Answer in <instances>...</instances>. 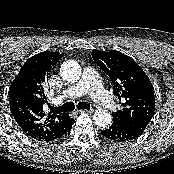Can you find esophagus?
I'll return each instance as SVG.
<instances>
[{"label": "esophagus", "mask_w": 174, "mask_h": 174, "mask_svg": "<svg viewBox=\"0 0 174 174\" xmlns=\"http://www.w3.org/2000/svg\"><path fill=\"white\" fill-rule=\"evenodd\" d=\"M94 110L90 109V110H79L80 113H92Z\"/></svg>", "instance_id": "34e87169"}]
</instances>
